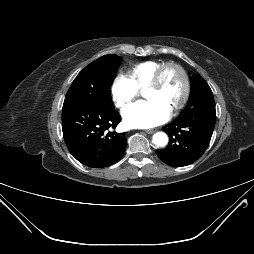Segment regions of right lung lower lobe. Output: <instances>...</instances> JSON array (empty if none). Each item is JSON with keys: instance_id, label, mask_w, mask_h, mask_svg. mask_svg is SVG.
I'll use <instances>...</instances> for the list:
<instances>
[{"instance_id": "obj_1", "label": "right lung lower lobe", "mask_w": 254, "mask_h": 254, "mask_svg": "<svg viewBox=\"0 0 254 254\" xmlns=\"http://www.w3.org/2000/svg\"><path fill=\"white\" fill-rule=\"evenodd\" d=\"M121 118L114 109H101L76 101H64L62 130L70 153L88 167H107L118 161L126 148L124 135L108 131Z\"/></svg>"}]
</instances>
